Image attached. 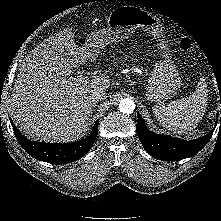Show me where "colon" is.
<instances>
[{"instance_id":"colon-1","label":"colon","mask_w":221,"mask_h":221,"mask_svg":"<svg viewBox=\"0 0 221 221\" xmlns=\"http://www.w3.org/2000/svg\"><path fill=\"white\" fill-rule=\"evenodd\" d=\"M179 47L183 52H188L192 48V41L188 37L181 38Z\"/></svg>"}]
</instances>
